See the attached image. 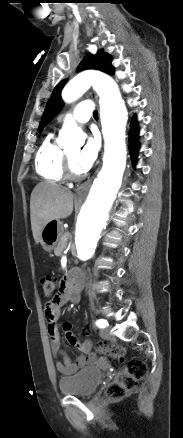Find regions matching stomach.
Segmentation results:
<instances>
[{"instance_id": "stomach-1", "label": "stomach", "mask_w": 183, "mask_h": 438, "mask_svg": "<svg viewBox=\"0 0 183 438\" xmlns=\"http://www.w3.org/2000/svg\"><path fill=\"white\" fill-rule=\"evenodd\" d=\"M62 233L63 227L59 220H53L47 223L40 235L42 248L47 252H51L56 248Z\"/></svg>"}]
</instances>
